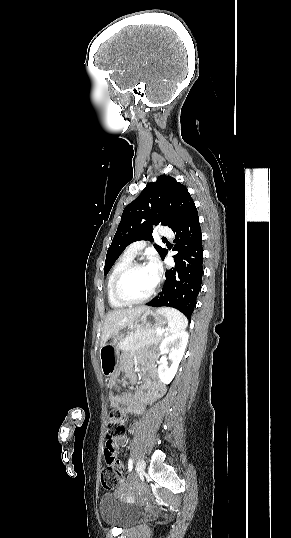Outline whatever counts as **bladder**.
<instances>
[{
    "label": "bladder",
    "mask_w": 291,
    "mask_h": 538,
    "mask_svg": "<svg viewBox=\"0 0 291 538\" xmlns=\"http://www.w3.org/2000/svg\"><path fill=\"white\" fill-rule=\"evenodd\" d=\"M102 520L120 528L128 527L139 515V509L118 499L114 494H105L99 503Z\"/></svg>",
    "instance_id": "31cf9c89"
}]
</instances>
